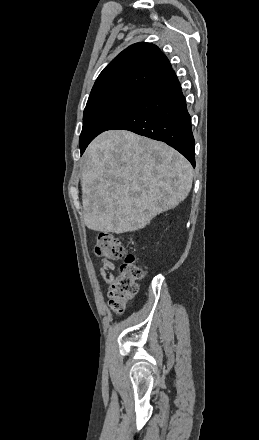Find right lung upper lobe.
<instances>
[{"label":"right lung upper lobe","instance_id":"cb5924a9","mask_svg":"<svg viewBox=\"0 0 259 440\" xmlns=\"http://www.w3.org/2000/svg\"><path fill=\"white\" fill-rule=\"evenodd\" d=\"M170 71L169 60L156 45L145 42L133 44L104 68L88 100L120 90L148 91Z\"/></svg>","mask_w":259,"mask_h":440}]
</instances>
